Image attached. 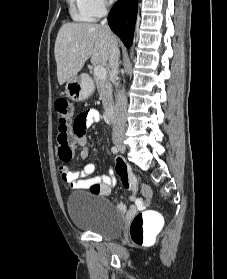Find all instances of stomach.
<instances>
[{"mask_svg": "<svg viewBox=\"0 0 227 279\" xmlns=\"http://www.w3.org/2000/svg\"><path fill=\"white\" fill-rule=\"evenodd\" d=\"M94 91L91 81H82L79 77L70 78L65 85L66 96L72 101H82L88 98Z\"/></svg>", "mask_w": 227, "mask_h": 279, "instance_id": "stomach-1", "label": "stomach"}]
</instances>
